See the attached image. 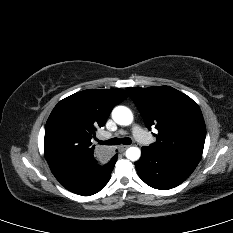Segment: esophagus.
<instances>
[{"instance_id":"34e87169","label":"esophagus","mask_w":233,"mask_h":233,"mask_svg":"<svg viewBox=\"0 0 233 233\" xmlns=\"http://www.w3.org/2000/svg\"><path fill=\"white\" fill-rule=\"evenodd\" d=\"M128 147H129L128 145H120V146L118 147V150H119L120 152H123V151H125Z\"/></svg>"}]
</instances>
